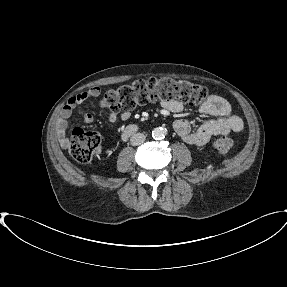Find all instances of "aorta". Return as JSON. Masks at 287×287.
<instances>
[{
	"instance_id": "aorta-1",
	"label": "aorta",
	"mask_w": 287,
	"mask_h": 287,
	"mask_svg": "<svg viewBox=\"0 0 287 287\" xmlns=\"http://www.w3.org/2000/svg\"><path fill=\"white\" fill-rule=\"evenodd\" d=\"M166 133H167V130L165 128L156 127L152 131V137L155 140H160V139H163L165 137Z\"/></svg>"
}]
</instances>
